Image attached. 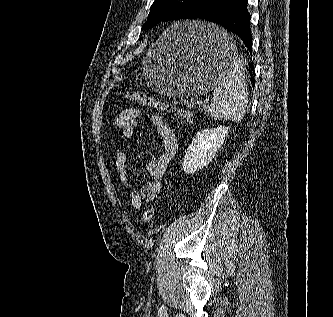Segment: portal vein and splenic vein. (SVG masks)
Returning a JSON list of instances; mask_svg holds the SVG:
<instances>
[{
    "instance_id": "1",
    "label": "portal vein and splenic vein",
    "mask_w": 333,
    "mask_h": 317,
    "mask_svg": "<svg viewBox=\"0 0 333 317\" xmlns=\"http://www.w3.org/2000/svg\"><path fill=\"white\" fill-rule=\"evenodd\" d=\"M206 103H207V101H206ZM187 107H188V108H192V107H193V104L188 102V103H187Z\"/></svg>"
}]
</instances>
